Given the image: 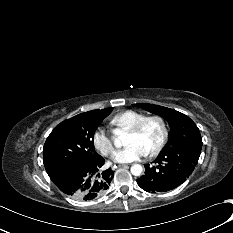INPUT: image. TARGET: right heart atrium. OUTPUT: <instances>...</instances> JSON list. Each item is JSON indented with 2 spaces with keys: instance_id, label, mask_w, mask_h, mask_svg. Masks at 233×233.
<instances>
[{
  "instance_id": "d8ad5b80",
  "label": "right heart atrium",
  "mask_w": 233,
  "mask_h": 233,
  "mask_svg": "<svg viewBox=\"0 0 233 233\" xmlns=\"http://www.w3.org/2000/svg\"><path fill=\"white\" fill-rule=\"evenodd\" d=\"M92 142L97 151L108 156L115 150L113 136L102 129H98L92 136Z\"/></svg>"
}]
</instances>
